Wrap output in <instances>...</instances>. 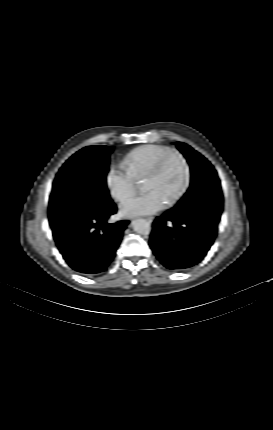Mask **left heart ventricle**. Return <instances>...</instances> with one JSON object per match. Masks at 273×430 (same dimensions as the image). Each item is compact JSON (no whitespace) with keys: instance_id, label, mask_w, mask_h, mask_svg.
<instances>
[{"instance_id":"obj_1","label":"left heart ventricle","mask_w":273,"mask_h":430,"mask_svg":"<svg viewBox=\"0 0 273 430\" xmlns=\"http://www.w3.org/2000/svg\"><path fill=\"white\" fill-rule=\"evenodd\" d=\"M184 167L181 161L171 158L163 173L157 178L146 179L144 188L146 191H157L167 202L180 189L184 181Z\"/></svg>"}]
</instances>
